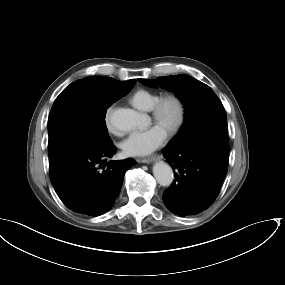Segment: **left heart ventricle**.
Listing matches in <instances>:
<instances>
[{"instance_id":"obj_1","label":"left heart ventricle","mask_w":285,"mask_h":285,"mask_svg":"<svg viewBox=\"0 0 285 285\" xmlns=\"http://www.w3.org/2000/svg\"><path fill=\"white\" fill-rule=\"evenodd\" d=\"M177 117V108L174 103H169L164 111L162 120L158 123L160 126H162L165 131L168 126L172 125Z\"/></svg>"}]
</instances>
